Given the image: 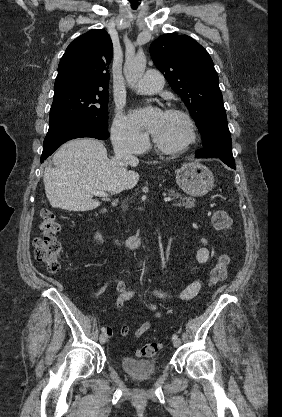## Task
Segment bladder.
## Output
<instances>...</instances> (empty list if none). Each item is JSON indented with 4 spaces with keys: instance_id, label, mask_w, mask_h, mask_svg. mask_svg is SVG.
I'll return each mask as SVG.
<instances>
[{
    "instance_id": "bladder-1",
    "label": "bladder",
    "mask_w": 282,
    "mask_h": 417,
    "mask_svg": "<svg viewBox=\"0 0 282 417\" xmlns=\"http://www.w3.org/2000/svg\"><path fill=\"white\" fill-rule=\"evenodd\" d=\"M122 371L136 381H146L158 370L155 359H141L133 356H123L120 362Z\"/></svg>"
}]
</instances>
